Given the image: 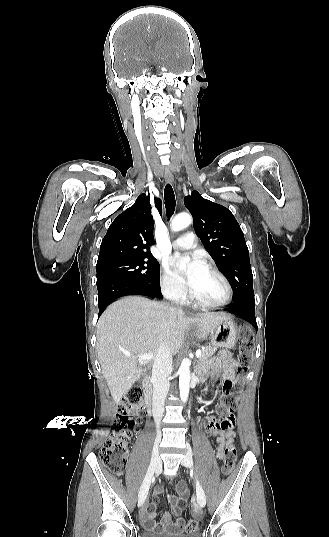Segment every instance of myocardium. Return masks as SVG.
<instances>
[{
  "mask_svg": "<svg viewBox=\"0 0 329 537\" xmlns=\"http://www.w3.org/2000/svg\"><path fill=\"white\" fill-rule=\"evenodd\" d=\"M204 267L208 270H210L211 272H213L215 275H217L220 280L222 281V283L224 284L225 286V289H226V297L220 301V302H208V301H204L202 299H199L198 297H196L192 292L190 293V298L191 300L198 306H202V307H206V308H219V307H224L226 305H228L232 299H233V289H232V286L229 282V280L227 279V277L215 266L211 265V264H204Z\"/></svg>",
  "mask_w": 329,
  "mask_h": 537,
  "instance_id": "f54148a6",
  "label": "myocardium"
}]
</instances>
